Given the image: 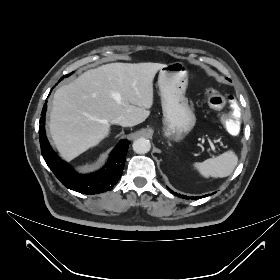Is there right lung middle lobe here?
Instances as JSON below:
<instances>
[{"label":"right lung middle lobe","mask_w":280,"mask_h":280,"mask_svg":"<svg viewBox=\"0 0 280 280\" xmlns=\"http://www.w3.org/2000/svg\"><path fill=\"white\" fill-rule=\"evenodd\" d=\"M72 73H70V74H68V75H65V76H63L60 80H62L64 77H68V76H70Z\"/></svg>","instance_id":"1"}]
</instances>
